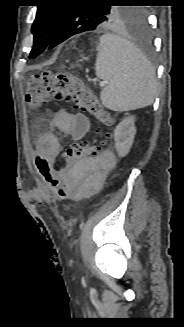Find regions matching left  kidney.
<instances>
[{
  "label": "left kidney",
  "instance_id": "left-kidney-1",
  "mask_svg": "<svg viewBox=\"0 0 184 327\" xmlns=\"http://www.w3.org/2000/svg\"><path fill=\"white\" fill-rule=\"evenodd\" d=\"M135 117L129 115L123 119L114 130L115 148L119 156H126L132 147L136 134Z\"/></svg>",
  "mask_w": 184,
  "mask_h": 327
}]
</instances>
